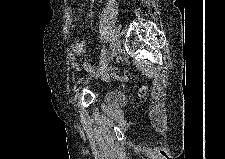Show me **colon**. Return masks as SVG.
I'll return each instance as SVG.
<instances>
[{
	"label": "colon",
	"instance_id": "obj_1",
	"mask_svg": "<svg viewBox=\"0 0 225 159\" xmlns=\"http://www.w3.org/2000/svg\"><path fill=\"white\" fill-rule=\"evenodd\" d=\"M85 69L88 71V72H94L96 70V66L95 64L90 61V60H87L85 61ZM103 80L105 81H108V80H118V81H121V82H128L132 79V75L130 73H123L119 70H116V69H107L104 73H103ZM146 93V90L145 88H143L141 90V95H145Z\"/></svg>",
	"mask_w": 225,
	"mask_h": 159
}]
</instances>
